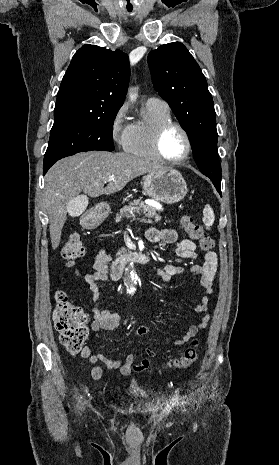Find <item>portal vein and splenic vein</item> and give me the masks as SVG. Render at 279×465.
Returning <instances> with one entry per match:
<instances>
[{
	"instance_id": "1",
	"label": "portal vein and splenic vein",
	"mask_w": 279,
	"mask_h": 465,
	"mask_svg": "<svg viewBox=\"0 0 279 465\" xmlns=\"http://www.w3.org/2000/svg\"><path fill=\"white\" fill-rule=\"evenodd\" d=\"M114 178H115L114 176H110V177H108L107 180H108V181H112V180H114Z\"/></svg>"
}]
</instances>
